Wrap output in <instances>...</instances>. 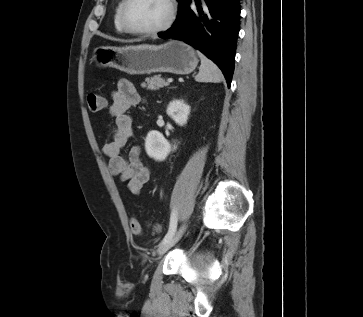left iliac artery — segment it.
Wrapping results in <instances>:
<instances>
[{
  "mask_svg": "<svg viewBox=\"0 0 363 317\" xmlns=\"http://www.w3.org/2000/svg\"><path fill=\"white\" fill-rule=\"evenodd\" d=\"M176 228H177V213L175 210H173L171 213V217H170L169 230H168L167 234L165 235V237L163 238L161 243H164V242L170 240L174 236V234L176 232Z\"/></svg>",
  "mask_w": 363,
  "mask_h": 317,
  "instance_id": "1",
  "label": "left iliac artery"
}]
</instances>
